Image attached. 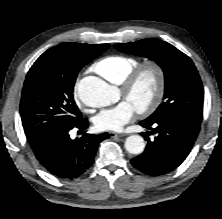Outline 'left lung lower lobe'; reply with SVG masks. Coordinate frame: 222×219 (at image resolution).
<instances>
[{
  "instance_id": "left-lung-lower-lobe-1",
  "label": "left lung lower lobe",
  "mask_w": 222,
  "mask_h": 219,
  "mask_svg": "<svg viewBox=\"0 0 222 219\" xmlns=\"http://www.w3.org/2000/svg\"><path fill=\"white\" fill-rule=\"evenodd\" d=\"M140 124L151 129L156 137L151 141L142 133L148 144L145 151L133 158L131 163L141 172L152 176L168 173L185 160L201 125L200 122L178 115L155 121L143 120Z\"/></svg>"
}]
</instances>
